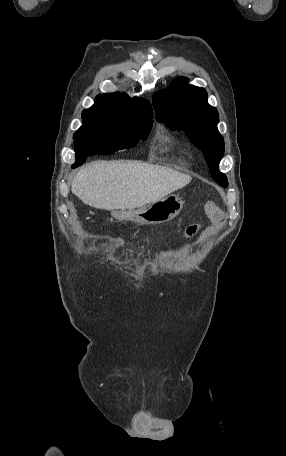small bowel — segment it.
<instances>
[{"label": "small bowel", "instance_id": "small-bowel-1", "mask_svg": "<svg viewBox=\"0 0 286 456\" xmlns=\"http://www.w3.org/2000/svg\"><path fill=\"white\" fill-rule=\"evenodd\" d=\"M209 214L211 215L212 219L215 221V222H220L222 220V213L221 211L219 210H211L209 211ZM197 227L196 226H193V227H190L188 230H187V234L188 235H193L196 231H197Z\"/></svg>", "mask_w": 286, "mask_h": 456}]
</instances>
